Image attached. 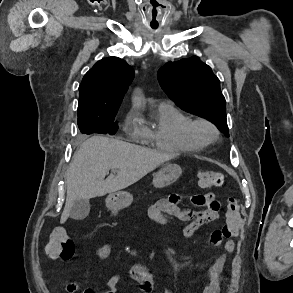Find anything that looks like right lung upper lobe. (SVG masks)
<instances>
[{
  "mask_svg": "<svg viewBox=\"0 0 293 293\" xmlns=\"http://www.w3.org/2000/svg\"><path fill=\"white\" fill-rule=\"evenodd\" d=\"M133 77V68L119 57L98 61L79 86L78 113L106 115L117 112Z\"/></svg>",
  "mask_w": 293,
  "mask_h": 293,
  "instance_id": "1",
  "label": "right lung upper lobe"
}]
</instances>
